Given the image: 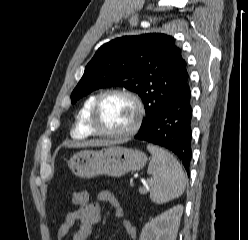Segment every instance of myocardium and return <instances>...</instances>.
<instances>
[{"label":"myocardium","instance_id":"1","mask_svg":"<svg viewBox=\"0 0 248 240\" xmlns=\"http://www.w3.org/2000/svg\"><path fill=\"white\" fill-rule=\"evenodd\" d=\"M113 95H120L128 98L134 104L136 110V116L133 121V124L128 129L121 132H106L98 127V115H99L100 107L105 99ZM144 116H145L144 104L141 98L136 93L127 89H111L103 92L98 96L91 110L89 123L93 133L98 136H102L106 138H125L137 133V131L140 129L142 125Z\"/></svg>","mask_w":248,"mask_h":240}]
</instances>
